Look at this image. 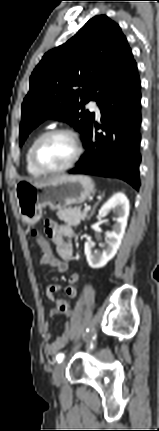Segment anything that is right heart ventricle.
I'll use <instances>...</instances> for the list:
<instances>
[{"label":"right heart ventricle","instance_id":"obj_1","mask_svg":"<svg viewBox=\"0 0 159 431\" xmlns=\"http://www.w3.org/2000/svg\"><path fill=\"white\" fill-rule=\"evenodd\" d=\"M41 134H42V132H38L32 137V139H31V141L27 147L26 153H25L26 170L31 176H34V177H40V176L45 174V173L41 172L38 168L35 167V165L32 162V159H31L32 146H33L34 142L36 141V139Z\"/></svg>","mask_w":159,"mask_h":431}]
</instances>
